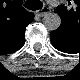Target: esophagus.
I'll return each instance as SVG.
<instances>
[{"label": "esophagus", "mask_w": 80, "mask_h": 80, "mask_svg": "<svg viewBox=\"0 0 80 80\" xmlns=\"http://www.w3.org/2000/svg\"><path fill=\"white\" fill-rule=\"evenodd\" d=\"M45 14V11H42L39 16H43Z\"/></svg>", "instance_id": "esophagus-1"}]
</instances>
